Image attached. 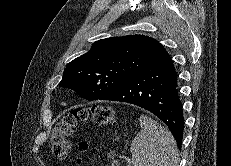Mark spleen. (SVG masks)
Returning <instances> with one entry per match:
<instances>
[{
    "mask_svg": "<svg viewBox=\"0 0 231 166\" xmlns=\"http://www.w3.org/2000/svg\"><path fill=\"white\" fill-rule=\"evenodd\" d=\"M140 132L131 142L133 166H179L176 141L163 125L146 115L139 117Z\"/></svg>",
    "mask_w": 231,
    "mask_h": 166,
    "instance_id": "3e777b00",
    "label": "spleen"
}]
</instances>
